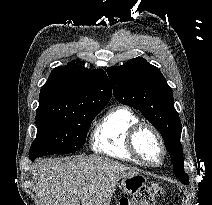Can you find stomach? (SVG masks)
I'll use <instances>...</instances> for the list:
<instances>
[{
  "mask_svg": "<svg viewBox=\"0 0 212 205\" xmlns=\"http://www.w3.org/2000/svg\"><path fill=\"white\" fill-rule=\"evenodd\" d=\"M146 177L141 174L124 176L121 180V190L127 195L138 193L146 184Z\"/></svg>",
  "mask_w": 212,
  "mask_h": 205,
  "instance_id": "obj_1",
  "label": "stomach"
}]
</instances>
